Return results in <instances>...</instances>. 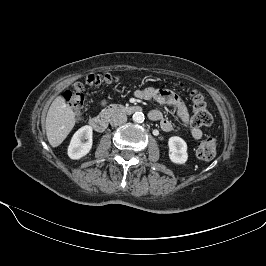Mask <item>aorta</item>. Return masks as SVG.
I'll return each mask as SVG.
<instances>
[{"label":"aorta","mask_w":266,"mask_h":266,"mask_svg":"<svg viewBox=\"0 0 266 266\" xmlns=\"http://www.w3.org/2000/svg\"><path fill=\"white\" fill-rule=\"evenodd\" d=\"M132 119L136 123H142L144 121V114L142 112H135Z\"/></svg>","instance_id":"aorta-1"}]
</instances>
